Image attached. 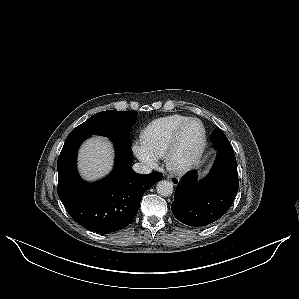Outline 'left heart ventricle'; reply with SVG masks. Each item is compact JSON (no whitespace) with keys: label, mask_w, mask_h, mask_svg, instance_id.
<instances>
[{"label":"left heart ventricle","mask_w":299,"mask_h":299,"mask_svg":"<svg viewBox=\"0 0 299 299\" xmlns=\"http://www.w3.org/2000/svg\"><path fill=\"white\" fill-rule=\"evenodd\" d=\"M202 138V129L197 122H192L182 131L173 154V161L181 163L191 158L198 150Z\"/></svg>","instance_id":"b2bd125f"}]
</instances>
